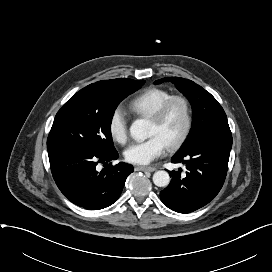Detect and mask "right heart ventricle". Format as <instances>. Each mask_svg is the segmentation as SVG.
I'll use <instances>...</instances> for the list:
<instances>
[{
  "instance_id": "e07e8e85",
  "label": "right heart ventricle",
  "mask_w": 272,
  "mask_h": 272,
  "mask_svg": "<svg viewBox=\"0 0 272 272\" xmlns=\"http://www.w3.org/2000/svg\"><path fill=\"white\" fill-rule=\"evenodd\" d=\"M170 96H172V93L168 90L150 87L134 96L128 106L135 115L149 117Z\"/></svg>"
}]
</instances>
